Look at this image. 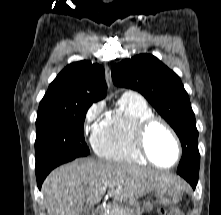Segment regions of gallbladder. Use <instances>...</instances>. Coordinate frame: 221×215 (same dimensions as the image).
<instances>
[{"mask_svg":"<svg viewBox=\"0 0 221 215\" xmlns=\"http://www.w3.org/2000/svg\"><path fill=\"white\" fill-rule=\"evenodd\" d=\"M94 208L93 206L85 205L81 215H93Z\"/></svg>","mask_w":221,"mask_h":215,"instance_id":"obj_1","label":"gallbladder"}]
</instances>
